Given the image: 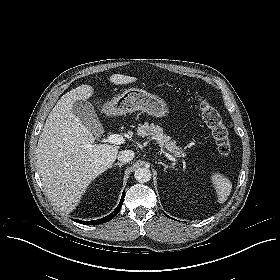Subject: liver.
I'll return each mask as SVG.
<instances>
[{
  "label": "liver",
  "mask_w": 280,
  "mask_h": 280,
  "mask_svg": "<svg viewBox=\"0 0 280 280\" xmlns=\"http://www.w3.org/2000/svg\"><path fill=\"white\" fill-rule=\"evenodd\" d=\"M116 85L137 78L113 74ZM92 86L83 84L64 94L49 113L37 145V168L48 198L66 213L71 212L90 182L117 157L118 145L96 144L92 132L73 113V104L92 96ZM101 112L106 113L104 104Z\"/></svg>",
  "instance_id": "1"
}]
</instances>
